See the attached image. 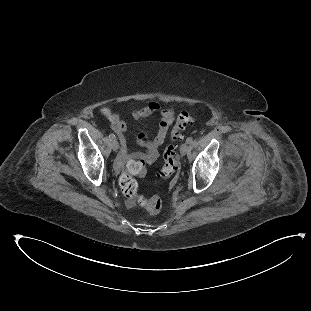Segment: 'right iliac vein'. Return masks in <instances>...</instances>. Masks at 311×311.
Here are the masks:
<instances>
[{"mask_svg":"<svg viewBox=\"0 0 311 311\" xmlns=\"http://www.w3.org/2000/svg\"><path fill=\"white\" fill-rule=\"evenodd\" d=\"M111 147H112V149H113L114 151H117V150H118V148H119V143H118V141H117L116 139L112 140V142H111Z\"/></svg>","mask_w":311,"mask_h":311,"instance_id":"1","label":"right iliac vein"}]
</instances>
